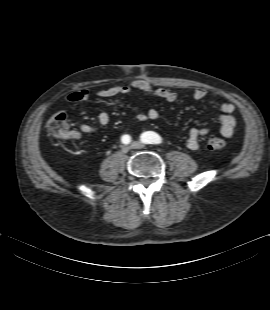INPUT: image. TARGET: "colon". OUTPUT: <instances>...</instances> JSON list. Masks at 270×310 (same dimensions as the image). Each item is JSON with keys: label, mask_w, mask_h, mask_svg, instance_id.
I'll use <instances>...</instances> for the list:
<instances>
[{"label": "colon", "mask_w": 270, "mask_h": 310, "mask_svg": "<svg viewBox=\"0 0 270 310\" xmlns=\"http://www.w3.org/2000/svg\"><path fill=\"white\" fill-rule=\"evenodd\" d=\"M49 133L56 139L75 138L74 131L69 129L68 118L66 113H55L47 123ZM225 140L218 135H211L207 140V147L210 150H221L225 147Z\"/></svg>", "instance_id": "colon-1"}]
</instances>
